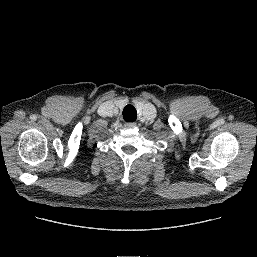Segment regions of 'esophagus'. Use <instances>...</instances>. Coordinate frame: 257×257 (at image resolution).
Returning a JSON list of instances; mask_svg holds the SVG:
<instances>
[{
    "label": "esophagus",
    "instance_id": "34e87169",
    "mask_svg": "<svg viewBox=\"0 0 257 257\" xmlns=\"http://www.w3.org/2000/svg\"><path fill=\"white\" fill-rule=\"evenodd\" d=\"M125 127L126 128H134V127H136V123H134V122L125 123Z\"/></svg>",
    "mask_w": 257,
    "mask_h": 257
}]
</instances>
